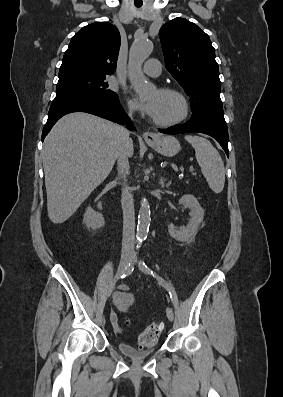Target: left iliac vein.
<instances>
[{"label":"left iliac vein","mask_w":283,"mask_h":397,"mask_svg":"<svg viewBox=\"0 0 283 397\" xmlns=\"http://www.w3.org/2000/svg\"><path fill=\"white\" fill-rule=\"evenodd\" d=\"M131 262H132L133 264H136V263H137V257L135 256V254H133V255L131 256ZM166 315H167V317H168V319H169L170 321H173V319H174V312H173V310H172L171 307H167V308H166Z\"/></svg>","instance_id":"1"}]
</instances>
